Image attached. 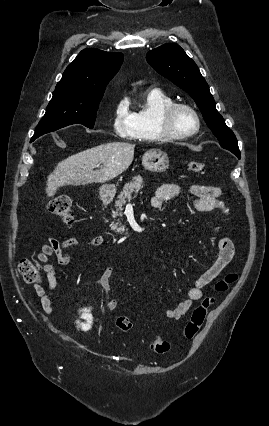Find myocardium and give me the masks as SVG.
<instances>
[{
    "mask_svg": "<svg viewBox=\"0 0 269 426\" xmlns=\"http://www.w3.org/2000/svg\"><path fill=\"white\" fill-rule=\"evenodd\" d=\"M187 110L195 119V128L187 132H179L173 125V119L178 110ZM158 126L162 134L167 139H186L196 135L201 128V120L198 112L189 104L183 102H173L167 105L160 113Z\"/></svg>",
    "mask_w": 269,
    "mask_h": 426,
    "instance_id": "obj_1",
    "label": "myocardium"
}]
</instances>
